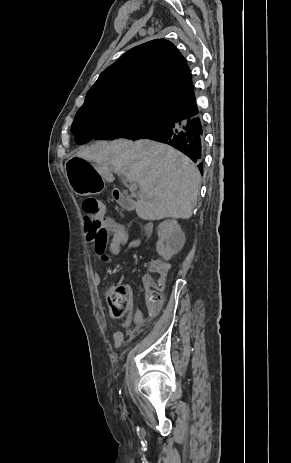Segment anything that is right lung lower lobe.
I'll list each match as a JSON object with an SVG mask.
<instances>
[{"label":"right lung lower lobe","mask_w":291,"mask_h":463,"mask_svg":"<svg viewBox=\"0 0 291 463\" xmlns=\"http://www.w3.org/2000/svg\"><path fill=\"white\" fill-rule=\"evenodd\" d=\"M144 138L173 146L197 163L200 172H203L204 134L198 115L191 119H184L179 115L167 116L160 127L137 139Z\"/></svg>","instance_id":"98d812e1"}]
</instances>
